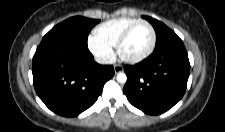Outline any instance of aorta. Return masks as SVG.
Returning <instances> with one entry per match:
<instances>
[{
  "label": "aorta",
  "mask_w": 225,
  "mask_h": 132,
  "mask_svg": "<svg viewBox=\"0 0 225 132\" xmlns=\"http://www.w3.org/2000/svg\"><path fill=\"white\" fill-rule=\"evenodd\" d=\"M116 79L119 83L124 84L127 81V76L124 72H119L116 76Z\"/></svg>",
  "instance_id": "762f6f07"
}]
</instances>
